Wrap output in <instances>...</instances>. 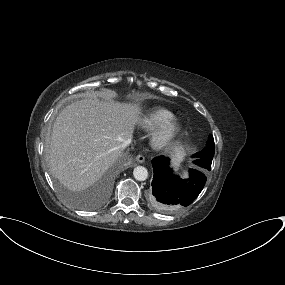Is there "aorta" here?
I'll return each mask as SVG.
<instances>
[{
    "label": "aorta",
    "instance_id": "762f6f07",
    "mask_svg": "<svg viewBox=\"0 0 285 285\" xmlns=\"http://www.w3.org/2000/svg\"><path fill=\"white\" fill-rule=\"evenodd\" d=\"M133 176L138 181H144L148 178V170L143 166H137L134 168Z\"/></svg>",
    "mask_w": 285,
    "mask_h": 285
}]
</instances>
